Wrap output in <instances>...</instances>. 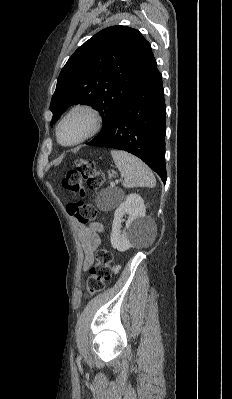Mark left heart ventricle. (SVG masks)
<instances>
[{
  "instance_id": "obj_1",
  "label": "left heart ventricle",
  "mask_w": 232,
  "mask_h": 399,
  "mask_svg": "<svg viewBox=\"0 0 232 399\" xmlns=\"http://www.w3.org/2000/svg\"><path fill=\"white\" fill-rule=\"evenodd\" d=\"M91 127L90 116L78 111L68 117L61 127V138L65 143H71L84 136Z\"/></svg>"
}]
</instances>
